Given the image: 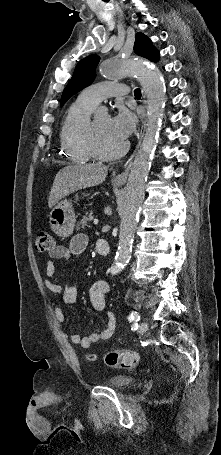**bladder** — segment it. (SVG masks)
Segmentation results:
<instances>
[{"label":"bladder","mask_w":221,"mask_h":455,"mask_svg":"<svg viewBox=\"0 0 221 455\" xmlns=\"http://www.w3.org/2000/svg\"><path fill=\"white\" fill-rule=\"evenodd\" d=\"M134 383V378L130 375L118 374L107 381V385L117 389H125Z\"/></svg>","instance_id":"obj_1"}]
</instances>
